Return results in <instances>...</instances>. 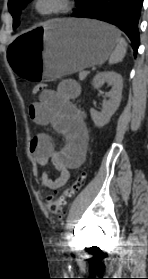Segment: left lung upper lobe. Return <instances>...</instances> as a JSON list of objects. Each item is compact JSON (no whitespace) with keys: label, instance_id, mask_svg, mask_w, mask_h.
<instances>
[{"label":"left lung upper lobe","instance_id":"5c2ea615","mask_svg":"<svg viewBox=\"0 0 148 279\" xmlns=\"http://www.w3.org/2000/svg\"><path fill=\"white\" fill-rule=\"evenodd\" d=\"M32 0H9L8 8L13 16V27L16 28L19 25V14L21 9L26 6L27 3L31 2ZM76 2L80 0H75Z\"/></svg>","mask_w":148,"mask_h":279}]
</instances>
